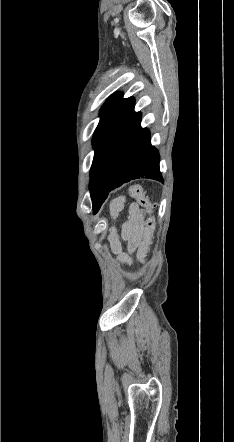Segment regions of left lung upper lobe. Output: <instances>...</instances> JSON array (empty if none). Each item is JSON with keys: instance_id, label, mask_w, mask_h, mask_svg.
<instances>
[{"instance_id": "obj_1", "label": "left lung upper lobe", "mask_w": 234, "mask_h": 442, "mask_svg": "<svg viewBox=\"0 0 234 442\" xmlns=\"http://www.w3.org/2000/svg\"><path fill=\"white\" fill-rule=\"evenodd\" d=\"M122 99V93H115L105 102L101 109L100 122L121 102Z\"/></svg>"}]
</instances>
